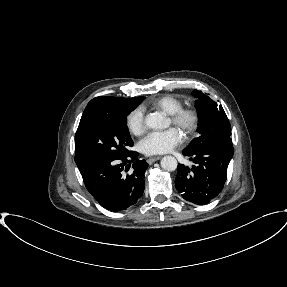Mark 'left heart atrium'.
Returning <instances> with one entry per match:
<instances>
[{
	"label": "left heart atrium",
	"instance_id": "obj_1",
	"mask_svg": "<svg viewBox=\"0 0 287 287\" xmlns=\"http://www.w3.org/2000/svg\"><path fill=\"white\" fill-rule=\"evenodd\" d=\"M183 141L182 135L176 128L161 132H151L139 143V148L146 155H160L172 151Z\"/></svg>",
	"mask_w": 287,
	"mask_h": 287
}]
</instances>
